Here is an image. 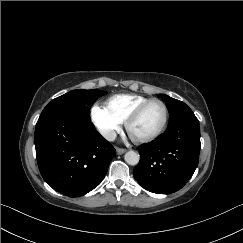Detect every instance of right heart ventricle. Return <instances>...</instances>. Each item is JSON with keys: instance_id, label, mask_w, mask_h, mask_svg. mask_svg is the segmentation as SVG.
I'll use <instances>...</instances> for the list:
<instances>
[{"instance_id": "e07e8e85", "label": "right heart ventricle", "mask_w": 243, "mask_h": 243, "mask_svg": "<svg viewBox=\"0 0 243 243\" xmlns=\"http://www.w3.org/2000/svg\"><path fill=\"white\" fill-rule=\"evenodd\" d=\"M150 98L136 94H117L106 102L107 109L121 122H125L128 116L141 104Z\"/></svg>"}]
</instances>
